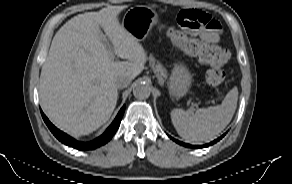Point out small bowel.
Listing matches in <instances>:
<instances>
[{"mask_svg":"<svg viewBox=\"0 0 292 184\" xmlns=\"http://www.w3.org/2000/svg\"><path fill=\"white\" fill-rule=\"evenodd\" d=\"M195 34L199 35L202 39L207 42L216 43L219 41L220 29L212 30V29H200Z\"/></svg>","mask_w":292,"mask_h":184,"instance_id":"small-bowel-1","label":"small bowel"}]
</instances>
